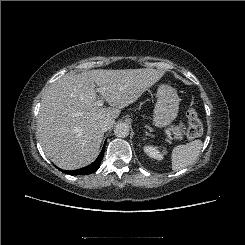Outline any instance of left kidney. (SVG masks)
Listing matches in <instances>:
<instances>
[{
  "label": "left kidney",
  "mask_w": 245,
  "mask_h": 245,
  "mask_svg": "<svg viewBox=\"0 0 245 245\" xmlns=\"http://www.w3.org/2000/svg\"><path fill=\"white\" fill-rule=\"evenodd\" d=\"M143 150L147 154V156H149L150 158H153L156 160H161L163 158V155L155 146L146 145L144 146Z\"/></svg>",
  "instance_id": "1"
}]
</instances>
